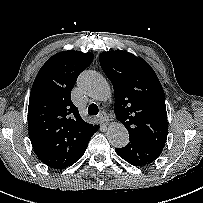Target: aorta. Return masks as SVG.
I'll return each mask as SVG.
<instances>
[{"label": "aorta", "mask_w": 203, "mask_h": 203, "mask_svg": "<svg viewBox=\"0 0 203 203\" xmlns=\"http://www.w3.org/2000/svg\"><path fill=\"white\" fill-rule=\"evenodd\" d=\"M78 87L85 95L98 101H107L112 95L108 82L94 71L83 72L78 79ZM107 139L112 146L122 148L128 144L129 134L122 123L115 122L108 127Z\"/></svg>", "instance_id": "aorta-1"}]
</instances>
